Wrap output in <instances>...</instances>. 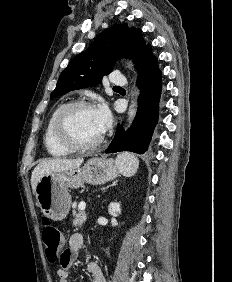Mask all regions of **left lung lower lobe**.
Returning a JSON list of instances; mask_svg holds the SVG:
<instances>
[{
    "mask_svg": "<svg viewBox=\"0 0 232 282\" xmlns=\"http://www.w3.org/2000/svg\"><path fill=\"white\" fill-rule=\"evenodd\" d=\"M138 70L137 85L142 89L139 96V108L133 125L126 132L117 125L114 139L106 153L131 151L143 154L147 151L154 127L158 121V104L162 90V72L157 58L148 44L140 60L135 65Z\"/></svg>",
    "mask_w": 232,
    "mask_h": 282,
    "instance_id": "1",
    "label": "left lung lower lobe"
}]
</instances>
